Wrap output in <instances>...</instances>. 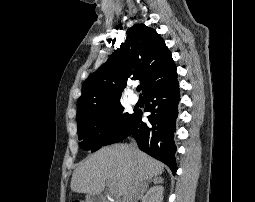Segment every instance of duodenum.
<instances>
[{
	"label": "duodenum",
	"mask_w": 255,
	"mask_h": 202,
	"mask_svg": "<svg viewBox=\"0 0 255 202\" xmlns=\"http://www.w3.org/2000/svg\"><path fill=\"white\" fill-rule=\"evenodd\" d=\"M89 202H106L104 197L99 194H90L88 197Z\"/></svg>",
	"instance_id": "obj_1"
}]
</instances>
